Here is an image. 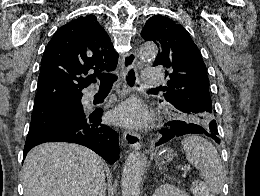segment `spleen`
<instances>
[{
  "label": "spleen",
  "instance_id": "1",
  "mask_svg": "<svg viewBox=\"0 0 260 196\" xmlns=\"http://www.w3.org/2000/svg\"><path fill=\"white\" fill-rule=\"evenodd\" d=\"M186 160L197 168L212 194H220L224 186L223 166L211 142L201 136H187L181 142Z\"/></svg>",
  "mask_w": 260,
  "mask_h": 196
}]
</instances>
